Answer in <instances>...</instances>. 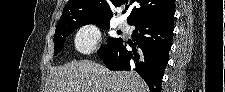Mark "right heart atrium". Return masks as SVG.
Masks as SVG:
<instances>
[{
	"label": "right heart atrium",
	"mask_w": 225,
	"mask_h": 92,
	"mask_svg": "<svg viewBox=\"0 0 225 92\" xmlns=\"http://www.w3.org/2000/svg\"><path fill=\"white\" fill-rule=\"evenodd\" d=\"M102 33L96 24H87L77 29L74 35L75 50L87 55L97 50L101 44Z\"/></svg>",
	"instance_id": "1"
}]
</instances>
